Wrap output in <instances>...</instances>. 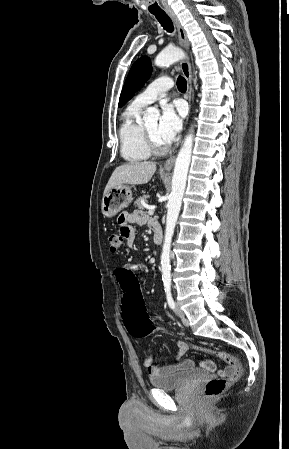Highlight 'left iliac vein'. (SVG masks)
Returning <instances> with one entry per match:
<instances>
[{
	"mask_svg": "<svg viewBox=\"0 0 289 449\" xmlns=\"http://www.w3.org/2000/svg\"><path fill=\"white\" fill-rule=\"evenodd\" d=\"M174 311H175V314L181 318L183 324L185 326H189V322L185 317V313L183 312V310L180 308V306L178 304L176 305Z\"/></svg>",
	"mask_w": 289,
	"mask_h": 449,
	"instance_id": "left-iliac-vein-1",
	"label": "left iliac vein"
}]
</instances>
